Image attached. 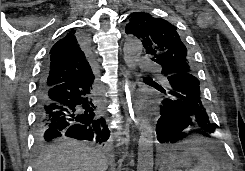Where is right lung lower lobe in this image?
<instances>
[{
    "label": "right lung lower lobe",
    "instance_id": "right-lung-lower-lobe-1",
    "mask_svg": "<svg viewBox=\"0 0 245 171\" xmlns=\"http://www.w3.org/2000/svg\"><path fill=\"white\" fill-rule=\"evenodd\" d=\"M81 46L92 61L89 43L84 38H81ZM44 72L45 67L42 78ZM41 81L36 113V135L39 141L67 136L103 143L109 138V129L99 110L95 74L53 86H44Z\"/></svg>",
    "mask_w": 245,
    "mask_h": 171
}]
</instances>
